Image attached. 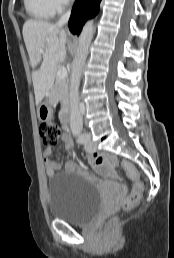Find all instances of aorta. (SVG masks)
<instances>
[{"label":"aorta","instance_id":"aorta-1","mask_svg":"<svg viewBox=\"0 0 174 258\" xmlns=\"http://www.w3.org/2000/svg\"><path fill=\"white\" fill-rule=\"evenodd\" d=\"M94 34L93 21H88L79 36L77 54L72 62L70 75V128L81 131L83 117L79 108V85L82 69L88 55V49Z\"/></svg>","mask_w":174,"mask_h":258}]
</instances>
